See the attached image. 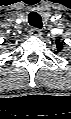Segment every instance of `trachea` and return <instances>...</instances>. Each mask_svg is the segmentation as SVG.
Masks as SVG:
<instances>
[{
	"instance_id": "3493384b",
	"label": "trachea",
	"mask_w": 71,
	"mask_h": 119,
	"mask_svg": "<svg viewBox=\"0 0 71 119\" xmlns=\"http://www.w3.org/2000/svg\"><path fill=\"white\" fill-rule=\"evenodd\" d=\"M28 22L31 26L36 27V28H42L43 23H42V18L37 12H31L28 15Z\"/></svg>"
}]
</instances>
